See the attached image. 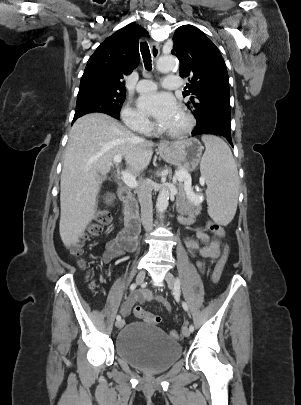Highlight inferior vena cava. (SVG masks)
Masks as SVG:
<instances>
[{"mask_svg": "<svg viewBox=\"0 0 301 405\" xmlns=\"http://www.w3.org/2000/svg\"><path fill=\"white\" fill-rule=\"evenodd\" d=\"M151 186L149 180H144L137 191L141 206V221L144 229L150 232L153 227V205L151 196Z\"/></svg>", "mask_w": 301, "mask_h": 405, "instance_id": "inferior-vena-cava-1", "label": "inferior vena cava"}]
</instances>
